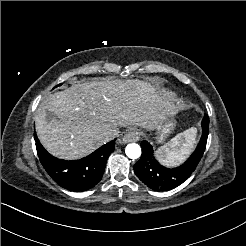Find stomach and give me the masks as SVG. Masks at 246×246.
Returning a JSON list of instances; mask_svg holds the SVG:
<instances>
[{
    "label": "stomach",
    "mask_w": 246,
    "mask_h": 246,
    "mask_svg": "<svg viewBox=\"0 0 246 246\" xmlns=\"http://www.w3.org/2000/svg\"><path fill=\"white\" fill-rule=\"evenodd\" d=\"M173 128V122L172 120L167 121H161V123L157 126V142H163L167 134L170 132V130Z\"/></svg>",
    "instance_id": "stomach-1"
}]
</instances>
